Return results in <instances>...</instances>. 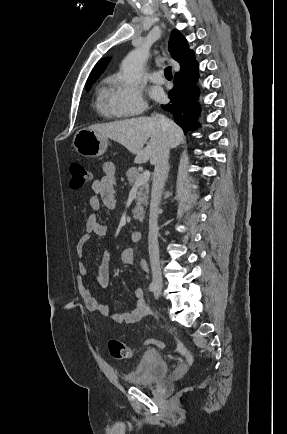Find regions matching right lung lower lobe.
Wrapping results in <instances>:
<instances>
[{"mask_svg":"<svg viewBox=\"0 0 287 434\" xmlns=\"http://www.w3.org/2000/svg\"><path fill=\"white\" fill-rule=\"evenodd\" d=\"M198 63L193 56L175 75L174 87L169 92L170 103L161 105L174 116V121L187 131L195 130L200 106L197 103L199 89L195 86L198 79Z\"/></svg>","mask_w":287,"mask_h":434,"instance_id":"1","label":"right lung lower lobe"}]
</instances>
